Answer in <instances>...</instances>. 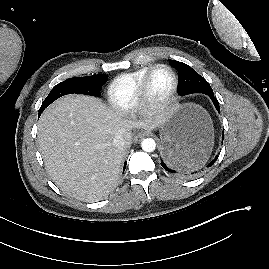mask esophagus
<instances>
[{
	"mask_svg": "<svg viewBox=\"0 0 269 269\" xmlns=\"http://www.w3.org/2000/svg\"><path fill=\"white\" fill-rule=\"evenodd\" d=\"M144 137H145V133H143V132H138V133H136L135 134V136H134V142H140L142 139H144Z\"/></svg>",
	"mask_w": 269,
	"mask_h": 269,
	"instance_id": "1",
	"label": "esophagus"
}]
</instances>
